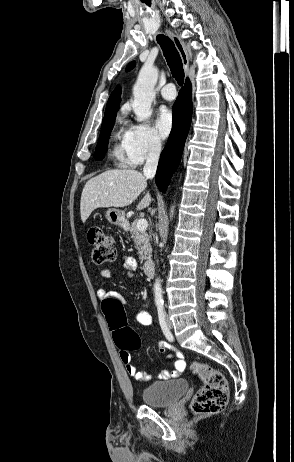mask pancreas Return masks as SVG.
<instances>
[{
	"instance_id": "1",
	"label": "pancreas",
	"mask_w": 294,
	"mask_h": 462,
	"mask_svg": "<svg viewBox=\"0 0 294 462\" xmlns=\"http://www.w3.org/2000/svg\"><path fill=\"white\" fill-rule=\"evenodd\" d=\"M131 238L136 243L138 250L139 259L141 261L148 260L151 258V245L150 236L146 231H140L137 229V221L135 220L129 228Z\"/></svg>"
}]
</instances>
